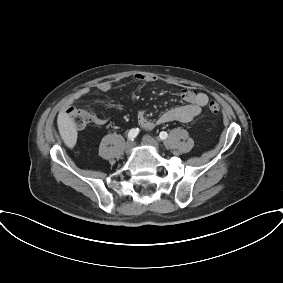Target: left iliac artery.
<instances>
[{
  "mask_svg": "<svg viewBox=\"0 0 283 283\" xmlns=\"http://www.w3.org/2000/svg\"><path fill=\"white\" fill-rule=\"evenodd\" d=\"M167 137H168L167 132H165V131L160 132L159 138H160L161 140H165Z\"/></svg>",
  "mask_w": 283,
  "mask_h": 283,
  "instance_id": "1",
  "label": "left iliac artery"
}]
</instances>
